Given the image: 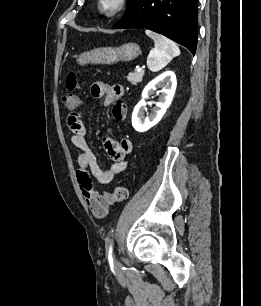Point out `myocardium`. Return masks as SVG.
Wrapping results in <instances>:
<instances>
[{
    "mask_svg": "<svg viewBox=\"0 0 261 306\" xmlns=\"http://www.w3.org/2000/svg\"><path fill=\"white\" fill-rule=\"evenodd\" d=\"M111 1L112 7L105 8V3ZM128 0H97V9L99 13L105 17H114L121 13L127 6Z\"/></svg>",
    "mask_w": 261,
    "mask_h": 306,
    "instance_id": "obj_1",
    "label": "myocardium"
}]
</instances>
